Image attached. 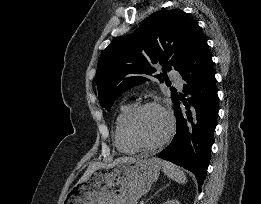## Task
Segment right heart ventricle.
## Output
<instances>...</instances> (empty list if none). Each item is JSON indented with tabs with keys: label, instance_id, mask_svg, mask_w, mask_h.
<instances>
[{
	"label": "right heart ventricle",
	"instance_id": "obj_1",
	"mask_svg": "<svg viewBox=\"0 0 261 204\" xmlns=\"http://www.w3.org/2000/svg\"><path fill=\"white\" fill-rule=\"evenodd\" d=\"M132 104L130 103H124L122 104L118 112L116 114L115 120H114V128H113V139L114 144L117 148V150L121 153L125 154H131L136 151L134 147H132L123 137L122 134V122L124 120V117L128 113V111L132 108Z\"/></svg>",
	"mask_w": 261,
	"mask_h": 204
}]
</instances>
